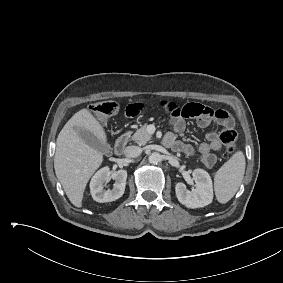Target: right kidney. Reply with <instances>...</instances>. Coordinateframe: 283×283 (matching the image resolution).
Wrapping results in <instances>:
<instances>
[{"label": "right kidney", "instance_id": "obj_1", "mask_svg": "<svg viewBox=\"0 0 283 283\" xmlns=\"http://www.w3.org/2000/svg\"><path fill=\"white\" fill-rule=\"evenodd\" d=\"M111 178L115 180L113 188L104 190V185L108 183ZM126 179L127 172L125 170L111 172L108 167L101 168L95 173L90 182L92 198L100 203L117 200L124 194Z\"/></svg>", "mask_w": 283, "mask_h": 283}]
</instances>
